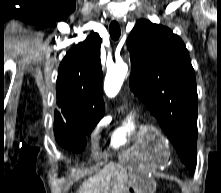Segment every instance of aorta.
<instances>
[{
	"label": "aorta",
	"instance_id": "1",
	"mask_svg": "<svg viewBox=\"0 0 221 193\" xmlns=\"http://www.w3.org/2000/svg\"><path fill=\"white\" fill-rule=\"evenodd\" d=\"M127 72L128 66L124 62L115 64L107 71L104 81V90L108 97H114L117 95L124 82Z\"/></svg>",
	"mask_w": 221,
	"mask_h": 193
}]
</instances>
